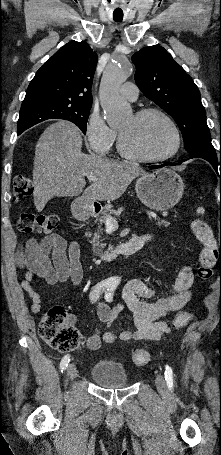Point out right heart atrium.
Here are the masks:
<instances>
[{"instance_id":"1","label":"right heart atrium","mask_w":221,"mask_h":455,"mask_svg":"<svg viewBox=\"0 0 221 455\" xmlns=\"http://www.w3.org/2000/svg\"><path fill=\"white\" fill-rule=\"evenodd\" d=\"M116 137V131L100 114L96 112L90 114L86 124V140L90 151L98 155L108 154Z\"/></svg>"}]
</instances>
